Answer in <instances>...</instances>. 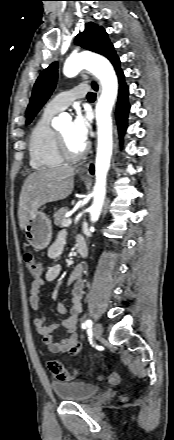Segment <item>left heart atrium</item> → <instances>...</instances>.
I'll list each match as a JSON object with an SVG mask.
<instances>
[{
	"mask_svg": "<svg viewBox=\"0 0 174 440\" xmlns=\"http://www.w3.org/2000/svg\"><path fill=\"white\" fill-rule=\"evenodd\" d=\"M90 119L89 115L77 111L74 120L71 123V135L72 138L79 144L85 145L89 132H90Z\"/></svg>",
	"mask_w": 174,
	"mask_h": 440,
	"instance_id": "1",
	"label": "left heart atrium"
}]
</instances>
